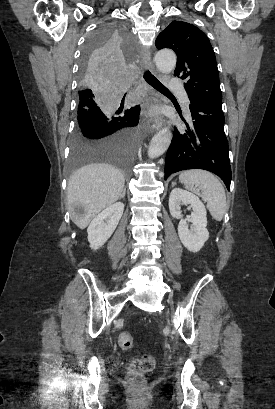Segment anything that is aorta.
<instances>
[{"mask_svg": "<svg viewBox=\"0 0 275 409\" xmlns=\"http://www.w3.org/2000/svg\"><path fill=\"white\" fill-rule=\"evenodd\" d=\"M154 62L161 72H171L176 66V54L173 50H159L154 56ZM172 138V132L169 128H162L157 134H154L148 148V156L156 158L167 150Z\"/></svg>", "mask_w": 275, "mask_h": 409, "instance_id": "aorta-1", "label": "aorta"}]
</instances>
